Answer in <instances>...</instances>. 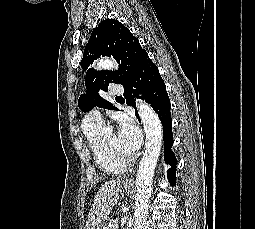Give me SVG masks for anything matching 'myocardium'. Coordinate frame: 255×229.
<instances>
[{
  "label": "myocardium",
  "instance_id": "1",
  "mask_svg": "<svg viewBox=\"0 0 255 229\" xmlns=\"http://www.w3.org/2000/svg\"><path fill=\"white\" fill-rule=\"evenodd\" d=\"M105 150L109 153V155L116 160L118 163L123 164L125 166H129L134 162V156H130L128 158H125L118 153L112 151L105 142H103Z\"/></svg>",
  "mask_w": 255,
  "mask_h": 229
}]
</instances>
